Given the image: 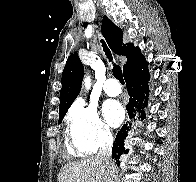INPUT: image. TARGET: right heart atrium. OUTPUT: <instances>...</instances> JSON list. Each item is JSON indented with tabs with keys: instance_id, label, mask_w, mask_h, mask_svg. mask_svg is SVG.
Returning a JSON list of instances; mask_svg holds the SVG:
<instances>
[{
	"instance_id": "d8ad5b80",
	"label": "right heart atrium",
	"mask_w": 196,
	"mask_h": 182,
	"mask_svg": "<svg viewBox=\"0 0 196 182\" xmlns=\"http://www.w3.org/2000/svg\"><path fill=\"white\" fill-rule=\"evenodd\" d=\"M67 121L72 145L80 154L95 153L112 141L111 130L93 104L76 102L68 112Z\"/></svg>"
}]
</instances>
